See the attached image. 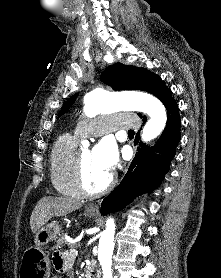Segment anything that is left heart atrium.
I'll return each instance as SVG.
<instances>
[{
    "label": "left heart atrium",
    "mask_w": 221,
    "mask_h": 278,
    "mask_svg": "<svg viewBox=\"0 0 221 278\" xmlns=\"http://www.w3.org/2000/svg\"><path fill=\"white\" fill-rule=\"evenodd\" d=\"M92 157L102 169L110 172L118 158L116 146L110 140H103L94 147Z\"/></svg>",
    "instance_id": "left-heart-atrium-1"
}]
</instances>
